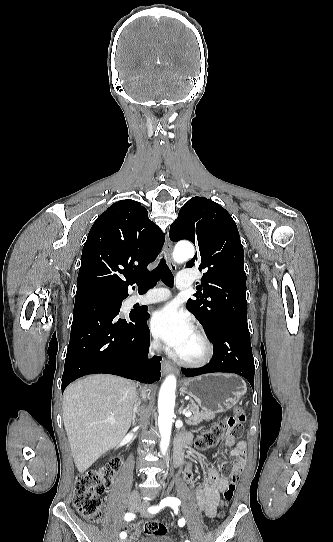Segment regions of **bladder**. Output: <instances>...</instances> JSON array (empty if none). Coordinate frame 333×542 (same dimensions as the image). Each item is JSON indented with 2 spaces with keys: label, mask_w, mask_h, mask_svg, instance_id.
<instances>
[{
  "label": "bladder",
  "mask_w": 333,
  "mask_h": 542,
  "mask_svg": "<svg viewBox=\"0 0 333 542\" xmlns=\"http://www.w3.org/2000/svg\"><path fill=\"white\" fill-rule=\"evenodd\" d=\"M139 542H177V541L169 535L149 534V535L144 536V538Z\"/></svg>",
  "instance_id": "obj_1"
}]
</instances>
